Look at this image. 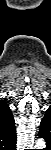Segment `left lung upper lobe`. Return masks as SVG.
<instances>
[{"instance_id":"5c2ea615","label":"left lung upper lobe","mask_w":51,"mask_h":150,"mask_svg":"<svg viewBox=\"0 0 51 150\" xmlns=\"http://www.w3.org/2000/svg\"><path fill=\"white\" fill-rule=\"evenodd\" d=\"M39 132L44 138L51 137V108L46 111L45 116L41 121Z\"/></svg>"}]
</instances>
